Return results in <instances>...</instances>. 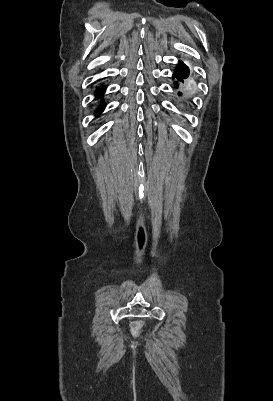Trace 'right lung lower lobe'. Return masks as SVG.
Returning <instances> with one entry per match:
<instances>
[{"mask_svg": "<svg viewBox=\"0 0 273 401\" xmlns=\"http://www.w3.org/2000/svg\"><path fill=\"white\" fill-rule=\"evenodd\" d=\"M105 92V86L98 87L95 91V94L98 98H102ZM105 103H102L99 108L95 111L96 115H99L105 108Z\"/></svg>", "mask_w": 273, "mask_h": 401, "instance_id": "1", "label": "right lung lower lobe"}]
</instances>
